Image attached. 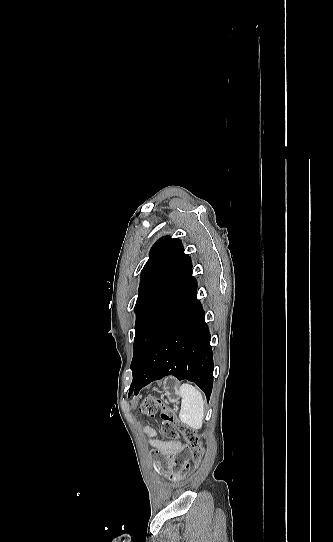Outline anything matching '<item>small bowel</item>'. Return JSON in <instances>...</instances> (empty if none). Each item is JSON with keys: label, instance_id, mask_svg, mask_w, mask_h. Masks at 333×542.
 Returning a JSON list of instances; mask_svg holds the SVG:
<instances>
[{"label": "small bowel", "instance_id": "c3829d8e", "mask_svg": "<svg viewBox=\"0 0 333 542\" xmlns=\"http://www.w3.org/2000/svg\"><path fill=\"white\" fill-rule=\"evenodd\" d=\"M143 431L149 438L150 446L157 451L152 457L154 462H161L162 458H174L186 450L181 441L160 439L156 429L149 425H143Z\"/></svg>", "mask_w": 333, "mask_h": 542}]
</instances>
